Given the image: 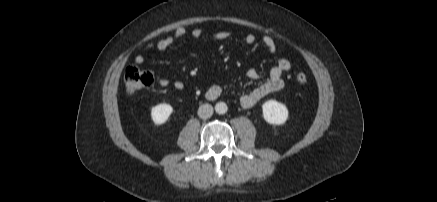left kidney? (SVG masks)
<instances>
[{
  "mask_svg": "<svg viewBox=\"0 0 437 202\" xmlns=\"http://www.w3.org/2000/svg\"><path fill=\"white\" fill-rule=\"evenodd\" d=\"M263 117L266 122L273 125H281L288 119L287 107L275 100H268L262 105Z\"/></svg>",
  "mask_w": 437,
  "mask_h": 202,
  "instance_id": "left-kidney-1",
  "label": "left kidney"
}]
</instances>
